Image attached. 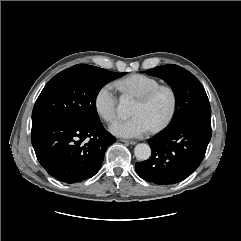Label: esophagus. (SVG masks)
Returning a JSON list of instances; mask_svg holds the SVG:
<instances>
[{"label": "esophagus", "mask_w": 241, "mask_h": 241, "mask_svg": "<svg viewBox=\"0 0 241 241\" xmlns=\"http://www.w3.org/2000/svg\"><path fill=\"white\" fill-rule=\"evenodd\" d=\"M120 141L130 144V145H135L137 142L134 140H127V139H121Z\"/></svg>", "instance_id": "1"}]
</instances>
